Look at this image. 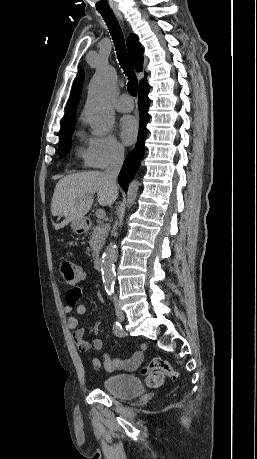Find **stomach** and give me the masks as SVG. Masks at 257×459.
Instances as JSON below:
<instances>
[{
    "label": "stomach",
    "mask_w": 257,
    "mask_h": 459,
    "mask_svg": "<svg viewBox=\"0 0 257 459\" xmlns=\"http://www.w3.org/2000/svg\"><path fill=\"white\" fill-rule=\"evenodd\" d=\"M71 228L74 232L80 233L84 229V221L83 219L75 220L71 222Z\"/></svg>",
    "instance_id": "1"
}]
</instances>
